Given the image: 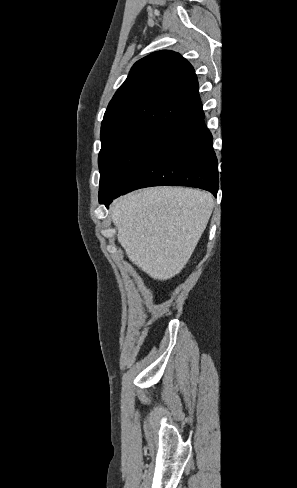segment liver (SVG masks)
<instances>
[{
	"label": "liver",
	"mask_w": 297,
	"mask_h": 488,
	"mask_svg": "<svg viewBox=\"0 0 297 488\" xmlns=\"http://www.w3.org/2000/svg\"><path fill=\"white\" fill-rule=\"evenodd\" d=\"M212 196L182 187H155L118 198L112 208L117 239L129 260L156 280L179 274L213 209Z\"/></svg>",
	"instance_id": "6515ba94"
}]
</instances>
